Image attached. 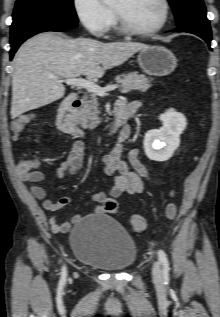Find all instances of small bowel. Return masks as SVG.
<instances>
[{
  "label": "small bowel",
  "mask_w": 220,
  "mask_h": 317,
  "mask_svg": "<svg viewBox=\"0 0 220 317\" xmlns=\"http://www.w3.org/2000/svg\"><path fill=\"white\" fill-rule=\"evenodd\" d=\"M140 106L139 101H134L127 106L129 116H134ZM130 135V129H129ZM85 144L81 139H76L73 147L66 159L61 162L56 170L55 177L62 179L66 175H75L83 167ZM123 148L117 143L102 158L104 173L113 179V187L109 194L96 193L92 196V200L96 203L93 209L94 214H102L104 212V204L109 198H118L123 193L131 195L143 192V180L148 178L149 173L146 166L140 159V150L133 149L129 152L127 160L122 158ZM39 163L36 160H21L18 163L17 170L21 181L32 183L30 187L33 196L41 201L45 211L50 213L48 218L51 230L55 233L67 232L71 224L69 222L58 223L55 212L60 208L68 206L72 202V197L64 196L58 201H52L46 198L44 188L36 183L45 179L44 174L38 170ZM82 215L76 214L72 221L78 222Z\"/></svg>",
  "instance_id": "small-bowel-1"
}]
</instances>
